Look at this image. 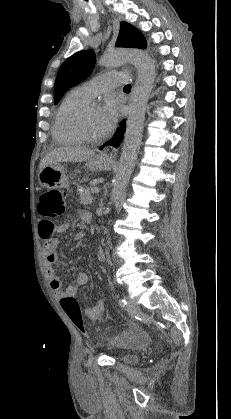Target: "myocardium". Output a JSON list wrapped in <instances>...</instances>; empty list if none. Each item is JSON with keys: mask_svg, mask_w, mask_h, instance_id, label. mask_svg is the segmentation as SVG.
I'll return each mask as SVG.
<instances>
[{"mask_svg": "<svg viewBox=\"0 0 231 419\" xmlns=\"http://www.w3.org/2000/svg\"><path fill=\"white\" fill-rule=\"evenodd\" d=\"M89 106H85L82 109H80L72 118L70 126L75 135L84 142L87 143H98L101 142L103 139H105L106 134H103L101 136H91L87 133L85 129V117L87 115V112L89 110Z\"/></svg>", "mask_w": 231, "mask_h": 419, "instance_id": "f54148a6", "label": "myocardium"}]
</instances>
